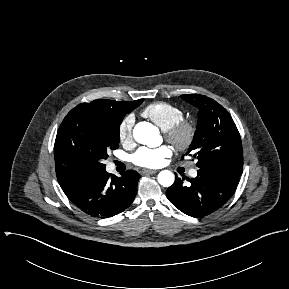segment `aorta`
Here are the masks:
<instances>
[{"label": "aorta", "instance_id": "obj_1", "mask_svg": "<svg viewBox=\"0 0 289 289\" xmlns=\"http://www.w3.org/2000/svg\"><path fill=\"white\" fill-rule=\"evenodd\" d=\"M133 137L138 143L149 147H156L160 143L157 128L148 122L137 123L133 129ZM157 180L160 185L170 187L174 183L175 177L171 171L163 170L158 174Z\"/></svg>", "mask_w": 289, "mask_h": 289}]
</instances>
